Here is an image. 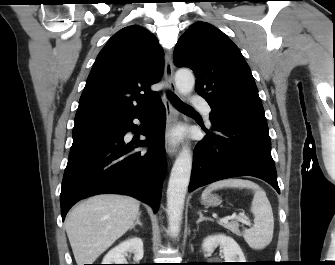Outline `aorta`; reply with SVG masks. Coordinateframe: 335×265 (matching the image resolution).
Listing matches in <instances>:
<instances>
[{
  "label": "aorta",
  "mask_w": 335,
  "mask_h": 265,
  "mask_svg": "<svg viewBox=\"0 0 335 265\" xmlns=\"http://www.w3.org/2000/svg\"><path fill=\"white\" fill-rule=\"evenodd\" d=\"M176 88L182 95L192 92L195 85L193 73L188 69H179L175 74ZM192 170V154L185 145L172 167L167 188L168 225L172 235L180 231L184 201Z\"/></svg>",
  "instance_id": "obj_1"
}]
</instances>
